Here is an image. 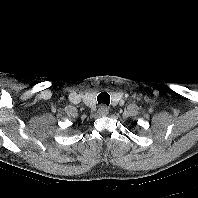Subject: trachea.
<instances>
[{"mask_svg":"<svg viewBox=\"0 0 198 198\" xmlns=\"http://www.w3.org/2000/svg\"><path fill=\"white\" fill-rule=\"evenodd\" d=\"M97 102H98V104H104V105L109 106V104H110V95L107 92H101L97 96Z\"/></svg>","mask_w":198,"mask_h":198,"instance_id":"trachea-1","label":"trachea"}]
</instances>
